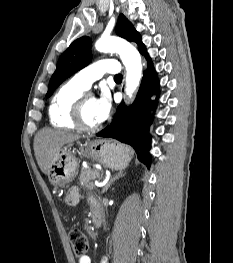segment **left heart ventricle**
Here are the masks:
<instances>
[{
    "mask_svg": "<svg viewBox=\"0 0 233 263\" xmlns=\"http://www.w3.org/2000/svg\"><path fill=\"white\" fill-rule=\"evenodd\" d=\"M94 101L95 99L92 96L87 95L84 100L83 107V118L87 125L95 126L97 123L94 120Z\"/></svg>",
    "mask_w": 233,
    "mask_h": 263,
    "instance_id": "1",
    "label": "left heart ventricle"
}]
</instances>
